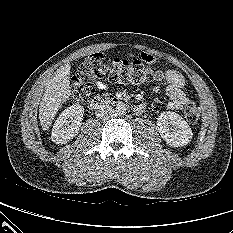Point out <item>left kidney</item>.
I'll list each match as a JSON object with an SVG mask.
<instances>
[{"mask_svg":"<svg viewBox=\"0 0 233 233\" xmlns=\"http://www.w3.org/2000/svg\"><path fill=\"white\" fill-rule=\"evenodd\" d=\"M157 127L165 142L173 147L186 146L192 139V130L182 116L166 111L157 118Z\"/></svg>","mask_w":233,"mask_h":233,"instance_id":"1","label":"left kidney"}]
</instances>
